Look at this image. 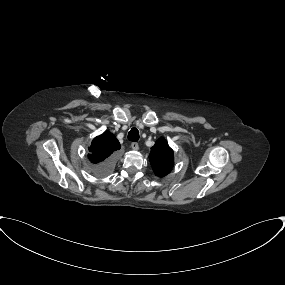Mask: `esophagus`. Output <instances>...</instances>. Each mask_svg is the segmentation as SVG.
I'll return each mask as SVG.
<instances>
[{"instance_id":"obj_1","label":"esophagus","mask_w":285,"mask_h":285,"mask_svg":"<svg viewBox=\"0 0 285 285\" xmlns=\"http://www.w3.org/2000/svg\"><path fill=\"white\" fill-rule=\"evenodd\" d=\"M131 148H132L133 150H138V149H139L138 143H137V142H133V143L131 144Z\"/></svg>"}]
</instances>
